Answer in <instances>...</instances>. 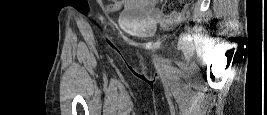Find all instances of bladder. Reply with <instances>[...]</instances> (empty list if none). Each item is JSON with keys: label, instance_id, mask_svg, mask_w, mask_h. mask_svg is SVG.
Returning <instances> with one entry per match:
<instances>
[{"label": "bladder", "instance_id": "obj_1", "mask_svg": "<svg viewBox=\"0 0 267 115\" xmlns=\"http://www.w3.org/2000/svg\"><path fill=\"white\" fill-rule=\"evenodd\" d=\"M123 29L139 37H148L155 33V27L153 25H123Z\"/></svg>", "mask_w": 267, "mask_h": 115}]
</instances>
